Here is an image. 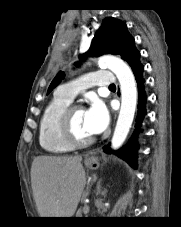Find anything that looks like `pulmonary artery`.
Returning a JSON list of instances; mask_svg holds the SVG:
<instances>
[{
	"label": "pulmonary artery",
	"mask_w": 181,
	"mask_h": 227,
	"mask_svg": "<svg viewBox=\"0 0 181 227\" xmlns=\"http://www.w3.org/2000/svg\"><path fill=\"white\" fill-rule=\"evenodd\" d=\"M114 82L115 76L113 73L99 70L58 87L57 94L72 101L81 89L92 86L105 87L114 84Z\"/></svg>",
	"instance_id": "e3ab8cb5"
}]
</instances>
